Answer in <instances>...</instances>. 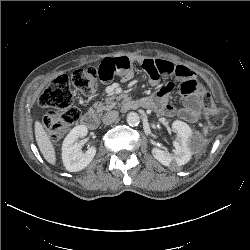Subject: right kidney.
<instances>
[{"instance_id":"1","label":"right kidney","mask_w":250,"mask_h":250,"mask_svg":"<svg viewBox=\"0 0 250 250\" xmlns=\"http://www.w3.org/2000/svg\"><path fill=\"white\" fill-rule=\"evenodd\" d=\"M88 129L85 125L74 127L65 137L62 144V160L69 172H77L89 165L96 155V148L90 147L82 152L81 146L77 143L79 138L87 135Z\"/></svg>"}]
</instances>
